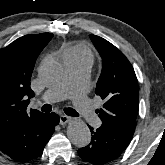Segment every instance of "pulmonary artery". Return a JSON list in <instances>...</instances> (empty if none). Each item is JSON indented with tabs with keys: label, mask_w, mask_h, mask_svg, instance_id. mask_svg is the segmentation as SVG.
I'll use <instances>...</instances> for the list:
<instances>
[{
	"label": "pulmonary artery",
	"mask_w": 165,
	"mask_h": 165,
	"mask_svg": "<svg viewBox=\"0 0 165 165\" xmlns=\"http://www.w3.org/2000/svg\"><path fill=\"white\" fill-rule=\"evenodd\" d=\"M68 75L65 80L48 89L40 98L45 103H53L71 98L76 109L81 113L87 123L94 127L101 124L100 119L95 114L88 98L86 88L89 79L91 62L89 61H65Z\"/></svg>",
	"instance_id": "e3ab8cb5"
}]
</instances>
